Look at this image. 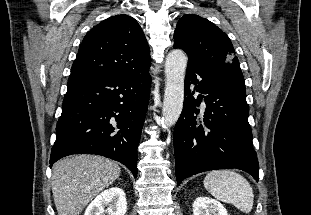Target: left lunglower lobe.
<instances>
[{
    "instance_id": "obj_1",
    "label": "left lung lower lobe",
    "mask_w": 311,
    "mask_h": 215,
    "mask_svg": "<svg viewBox=\"0 0 311 215\" xmlns=\"http://www.w3.org/2000/svg\"><path fill=\"white\" fill-rule=\"evenodd\" d=\"M184 91L173 137L177 185L197 173L230 168L246 171L258 181L246 93L225 85L193 61L188 62ZM195 91L200 93L197 98ZM202 101L205 111L199 109Z\"/></svg>"
}]
</instances>
